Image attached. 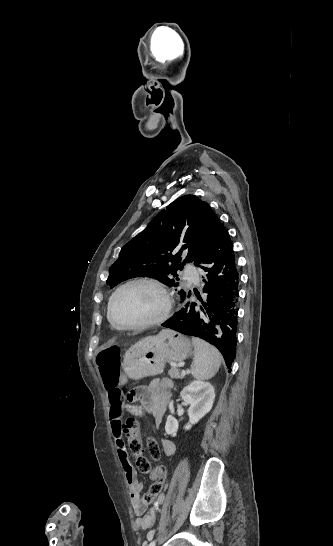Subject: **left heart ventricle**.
<instances>
[{
    "mask_svg": "<svg viewBox=\"0 0 333 546\" xmlns=\"http://www.w3.org/2000/svg\"><path fill=\"white\" fill-rule=\"evenodd\" d=\"M163 304V297L157 289L136 284L118 294L113 305V314L118 323L134 325L157 316Z\"/></svg>",
    "mask_w": 333,
    "mask_h": 546,
    "instance_id": "1",
    "label": "left heart ventricle"
}]
</instances>
